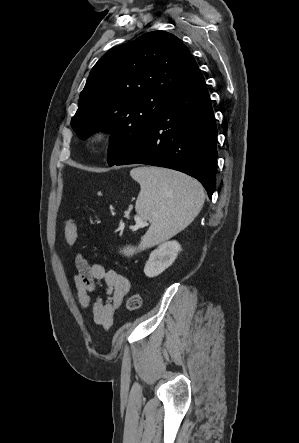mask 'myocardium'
I'll return each mask as SVG.
<instances>
[{"mask_svg":"<svg viewBox=\"0 0 299 443\" xmlns=\"http://www.w3.org/2000/svg\"><path fill=\"white\" fill-rule=\"evenodd\" d=\"M108 139V133L102 128L93 130L88 137L89 144L93 147L102 146Z\"/></svg>","mask_w":299,"mask_h":443,"instance_id":"myocardium-1","label":"myocardium"}]
</instances>
